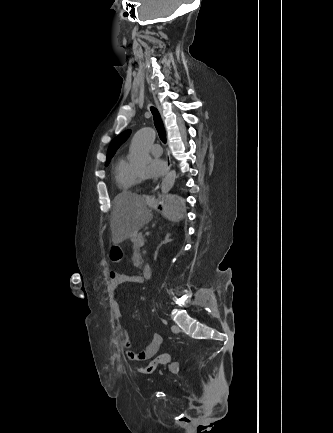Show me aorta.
Wrapping results in <instances>:
<instances>
[{"label": "aorta", "instance_id": "aorta-1", "mask_svg": "<svg viewBox=\"0 0 333 433\" xmlns=\"http://www.w3.org/2000/svg\"><path fill=\"white\" fill-rule=\"evenodd\" d=\"M156 133L152 128H142L134 135L129 152L131 162L138 167H145L151 162L149 154L150 146L155 140ZM176 171H170L163 179L161 192L168 193L174 185Z\"/></svg>", "mask_w": 333, "mask_h": 433}]
</instances>
